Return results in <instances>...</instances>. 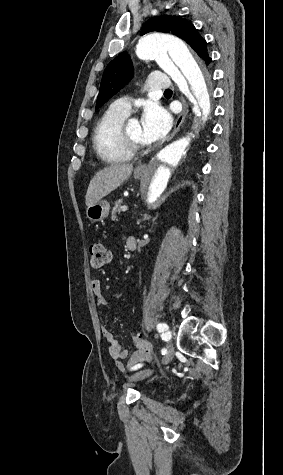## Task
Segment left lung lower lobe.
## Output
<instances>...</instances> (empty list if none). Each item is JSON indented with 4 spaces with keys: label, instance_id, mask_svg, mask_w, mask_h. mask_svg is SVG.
<instances>
[{
    "label": "left lung lower lobe",
    "instance_id": "0a47b994",
    "mask_svg": "<svg viewBox=\"0 0 283 475\" xmlns=\"http://www.w3.org/2000/svg\"><path fill=\"white\" fill-rule=\"evenodd\" d=\"M206 47H207V45H206ZM204 60H205L206 64H209V63H210L211 58H209L208 52H206Z\"/></svg>",
    "mask_w": 283,
    "mask_h": 475
}]
</instances>
